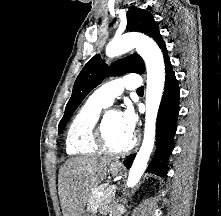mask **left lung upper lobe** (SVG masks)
Masks as SVG:
<instances>
[{"label":"left lung upper lobe","mask_w":221,"mask_h":216,"mask_svg":"<svg viewBox=\"0 0 221 216\" xmlns=\"http://www.w3.org/2000/svg\"><path fill=\"white\" fill-rule=\"evenodd\" d=\"M127 20L126 29L128 31L144 33L152 37L159 46L164 43L157 23L149 11L135 7L130 8L127 12ZM144 70L143 59L135 53L115 62L111 68L103 62L99 55L94 56L84 66L74 83L72 96L66 106L64 116L60 121L58 133L60 134L65 128L72 113L77 109L82 100L93 88L102 82L105 76L108 74L119 75L127 72L140 74L143 73Z\"/></svg>","instance_id":"5c2ea615"}]
</instances>
